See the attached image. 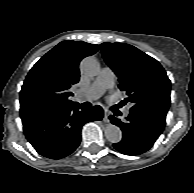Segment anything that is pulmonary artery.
I'll return each mask as SVG.
<instances>
[{
  "instance_id": "pulmonary-artery-1",
  "label": "pulmonary artery",
  "mask_w": 194,
  "mask_h": 193,
  "mask_svg": "<svg viewBox=\"0 0 194 193\" xmlns=\"http://www.w3.org/2000/svg\"><path fill=\"white\" fill-rule=\"evenodd\" d=\"M114 73L109 67H104L94 82L87 88L79 90L78 94L87 100L99 98L107 89L114 85ZM124 114H129V108L124 110Z\"/></svg>"
}]
</instances>
